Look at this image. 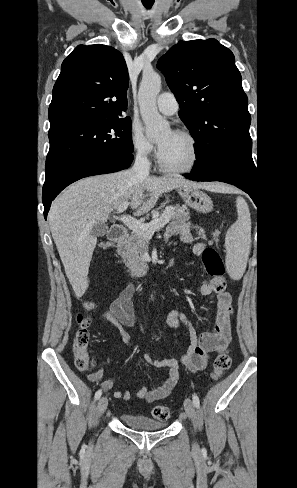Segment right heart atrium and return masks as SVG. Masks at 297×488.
Wrapping results in <instances>:
<instances>
[{"instance_id":"right-heart-atrium-1","label":"right heart atrium","mask_w":297,"mask_h":488,"mask_svg":"<svg viewBox=\"0 0 297 488\" xmlns=\"http://www.w3.org/2000/svg\"><path fill=\"white\" fill-rule=\"evenodd\" d=\"M130 143L134 154L141 159H149L155 152L153 142L145 135L143 127L133 122L130 128Z\"/></svg>"}]
</instances>
